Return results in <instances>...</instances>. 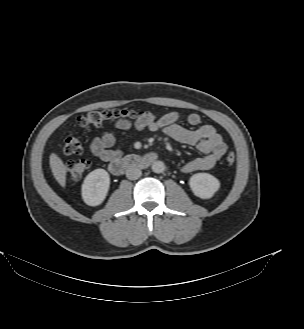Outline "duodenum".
Masks as SVG:
<instances>
[{"label": "duodenum", "mask_w": 304, "mask_h": 329, "mask_svg": "<svg viewBox=\"0 0 304 329\" xmlns=\"http://www.w3.org/2000/svg\"><path fill=\"white\" fill-rule=\"evenodd\" d=\"M156 159L157 154L152 152L144 155L129 154L123 158L111 161L109 164V170L113 175L119 176L129 168L146 167L152 164Z\"/></svg>", "instance_id": "duodenum-1"}]
</instances>
